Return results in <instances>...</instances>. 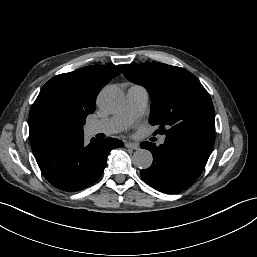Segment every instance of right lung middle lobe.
I'll list each match as a JSON object with an SVG mask.
<instances>
[{"label": "right lung middle lobe", "mask_w": 257, "mask_h": 257, "mask_svg": "<svg viewBox=\"0 0 257 257\" xmlns=\"http://www.w3.org/2000/svg\"><path fill=\"white\" fill-rule=\"evenodd\" d=\"M44 119L49 126L61 130L66 135L77 136L83 134L82 127L86 115L70 106L53 104L46 110Z\"/></svg>", "instance_id": "1"}]
</instances>
